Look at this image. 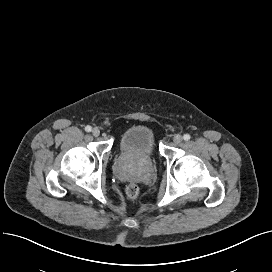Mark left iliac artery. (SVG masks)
I'll return each instance as SVG.
<instances>
[{
  "label": "left iliac artery",
  "mask_w": 272,
  "mask_h": 272,
  "mask_svg": "<svg viewBox=\"0 0 272 272\" xmlns=\"http://www.w3.org/2000/svg\"><path fill=\"white\" fill-rule=\"evenodd\" d=\"M190 135L189 134H184V136H183V139L185 140V141H188V140H190Z\"/></svg>",
  "instance_id": "left-iliac-artery-1"
}]
</instances>
